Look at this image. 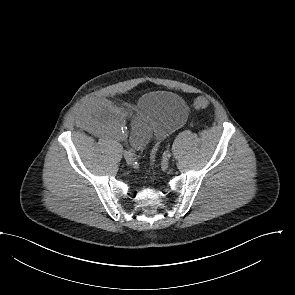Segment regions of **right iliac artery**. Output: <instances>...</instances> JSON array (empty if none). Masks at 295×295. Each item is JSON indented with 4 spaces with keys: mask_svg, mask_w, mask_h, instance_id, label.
Instances as JSON below:
<instances>
[{
    "mask_svg": "<svg viewBox=\"0 0 295 295\" xmlns=\"http://www.w3.org/2000/svg\"><path fill=\"white\" fill-rule=\"evenodd\" d=\"M123 132V131H122ZM125 153H128L129 155H134V150L133 149H128L124 151Z\"/></svg>",
    "mask_w": 295,
    "mask_h": 295,
    "instance_id": "obj_1",
    "label": "right iliac artery"
}]
</instances>
